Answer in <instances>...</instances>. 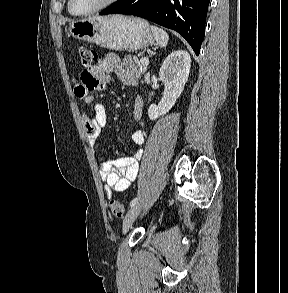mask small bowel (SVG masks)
<instances>
[{"label":"small bowel","mask_w":288,"mask_h":293,"mask_svg":"<svg viewBox=\"0 0 288 293\" xmlns=\"http://www.w3.org/2000/svg\"><path fill=\"white\" fill-rule=\"evenodd\" d=\"M111 73H114L124 84L136 86L137 78L129 72L121 62L118 55L107 54L91 70L80 75V81L75 87V95L80 99V107L83 110L82 120L87 138L91 145H95L101 131L107 125V113L102 104L95 103L90 92L95 90H106L111 83ZM92 106L93 112H86ZM143 101L140 96L135 100L134 117L139 119L142 114ZM131 139L135 145H142L145 141L144 133L133 130ZM143 150L137 149L133 155L116 159L105 160L100 165V176L104 182V187L108 197L112 196V191L125 192L128 190L137 177L139 161L142 158Z\"/></svg>","instance_id":"1"}]
</instances>
